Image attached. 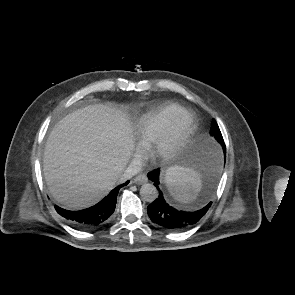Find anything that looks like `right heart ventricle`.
<instances>
[{
	"label": "right heart ventricle",
	"mask_w": 295,
	"mask_h": 295,
	"mask_svg": "<svg viewBox=\"0 0 295 295\" xmlns=\"http://www.w3.org/2000/svg\"><path fill=\"white\" fill-rule=\"evenodd\" d=\"M182 113L181 106L169 103L141 115L134 127L139 145L150 146Z\"/></svg>",
	"instance_id": "e07e8e85"
}]
</instances>
